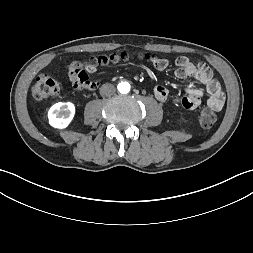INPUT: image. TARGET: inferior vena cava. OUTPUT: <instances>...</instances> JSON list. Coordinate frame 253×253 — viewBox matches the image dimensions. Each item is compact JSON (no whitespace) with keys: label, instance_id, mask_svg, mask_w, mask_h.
<instances>
[{"label":"inferior vena cava","instance_id":"obj_1","mask_svg":"<svg viewBox=\"0 0 253 253\" xmlns=\"http://www.w3.org/2000/svg\"><path fill=\"white\" fill-rule=\"evenodd\" d=\"M115 91H116L115 86L113 84L107 83L102 85V87L100 88V95L109 97L113 95Z\"/></svg>","mask_w":253,"mask_h":253}]
</instances>
